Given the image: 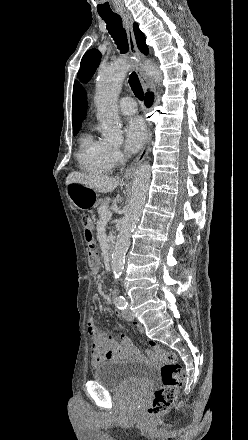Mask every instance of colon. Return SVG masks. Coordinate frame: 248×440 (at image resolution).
Returning a JSON list of instances; mask_svg holds the SVG:
<instances>
[{
	"label": "colon",
	"instance_id": "obj_1",
	"mask_svg": "<svg viewBox=\"0 0 248 440\" xmlns=\"http://www.w3.org/2000/svg\"><path fill=\"white\" fill-rule=\"evenodd\" d=\"M82 224L85 228V237L90 248V266L93 270H96L99 267V259L93 251V219L85 216L82 219ZM156 346L159 347L158 344ZM160 373L162 385L155 391L153 400L146 409V414L150 418L162 416L170 410L185 378V370L182 365L177 362V357L173 352L167 353L166 362L161 367Z\"/></svg>",
	"mask_w": 248,
	"mask_h": 440
}]
</instances>
